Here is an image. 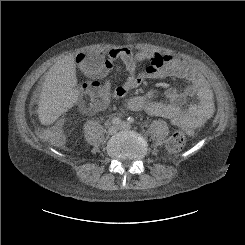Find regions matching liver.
Masks as SVG:
<instances>
[{
    "mask_svg": "<svg viewBox=\"0 0 245 245\" xmlns=\"http://www.w3.org/2000/svg\"><path fill=\"white\" fill-rule=\"evenodd\" d=\"M76 84V65L72 55L60 59L49 69L37 110L42 125L52 124L73 107L78 99Z\"/></svg>",
    "mask_w": 245,
    "mask_h": 245,
    "instance_id": "1",
    "label": "liver"
}]
</instances>
